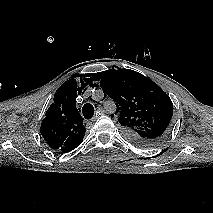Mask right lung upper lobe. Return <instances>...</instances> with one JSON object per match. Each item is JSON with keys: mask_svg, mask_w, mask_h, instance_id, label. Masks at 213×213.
Returning <instances> with one entry per match:
<instances>
[{"mask_svg": "<svg viewBox=\"0 0 213 213\" xmlns=\"http://www.w3.org/2000/svg\"><path fill=\"white\" fill-rule=\"evenodd\" d=\"M86 85L82 82L79 88L76 80L70 79L54 94V103L48 108L40 128L41 135L52 149L70 152L82 143L86 128L80 110L76 108V96Z\"/></svg>", "mask_w": 213, "mask_h": 213, "instance_id": "cb5924a9", "label": "right lung upper lobe"}]
</instances>
